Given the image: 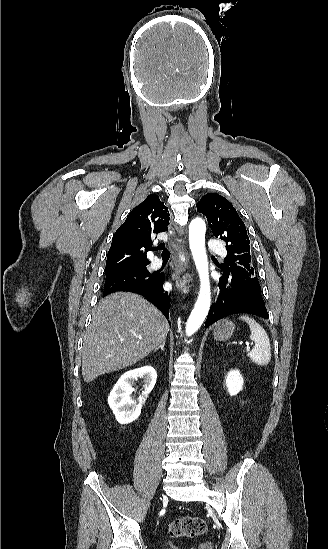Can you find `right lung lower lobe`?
<instances>
[{"mask_svg": "<svg viewBox=\"0 0 328 549\" xmlns=\"http://www.w3.org/2000/svg\"><path fill=\"white\" fill-rule=\"evenodd\" d=\"M164 278H165L164 273H157L156 277L146 285H133V286H128L115 291H130V292L143 295L144 297L147 298L148 301L152 302L168 319L169 308H170V296L168 295V292H166L163 289ZM115 291H112V292H115ZM112 292H107L103 294L105 296Z\"/></svg>", "mask_w": 328, "mask_h": 549, "instance_id": "obj_1", "label": "right lung lower lobe"}]
</instances>
